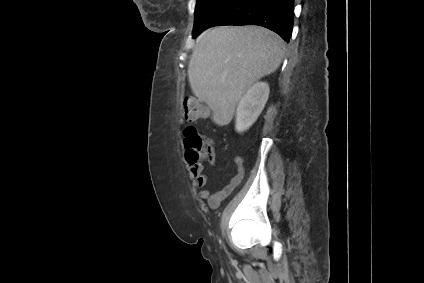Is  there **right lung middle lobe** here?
<instances>
[{
    "label": "right lung middle lobe",
    "instance_id": "1",
    "mask_svg": "<svg viewBox=\"0 0 424 283\" xmlns=\"http://www.w3.org/2000/svg\"><path fill=\"white\" fill-rule=\"evenodd\" d=\"M228 0H197L193 33L198 32Z\"/></svg>",
    "mask_w": 424,
    "mask_h": 283
}]
</instances>
